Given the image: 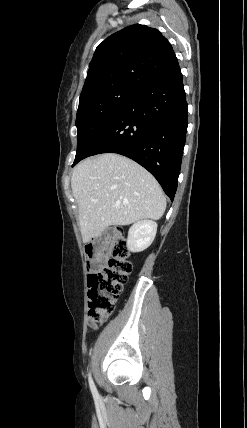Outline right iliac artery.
Segmentation results:
<instances>
[{
	"instance_id": "82829eb1",
	"label": "right iliac artery",
	"mask_w": 247,
	"mask_h": 428,
	"mask_svg": "<svg viewBox=\"0 0 247 428\" xmlns=\"http://www.w3.org/2000/svg\"><path fill=\"white\" fill-rule=\"evenodd\" d=\"M89 385H90V389H91V392H92L93 396L94 397L97 396L98 393H97L96 387L94 385V382H93L90 374H89Z\"/></svg>"
}]
</instances>
